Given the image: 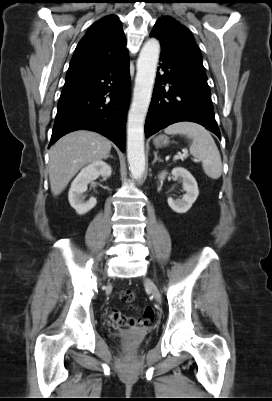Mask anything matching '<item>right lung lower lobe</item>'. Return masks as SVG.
Listing matches in <instances>:
<instances>
[{"label": "right lung lower lobe", "instance_id": "98d812e1", "mask_svg": "<svg viewBox=\"0 0 272 401\" xmlns=\"http://www.w3.org/2000/svg\"><path fill=\"white\" fill-rule=\"evenodd\" d=\"M128 52L85 77L65 82L49 146L80 129L96 131L125 148V120L129 103Z\"/></svg>", "mask_w": 272, "mask_h": 401}]
</instances>
